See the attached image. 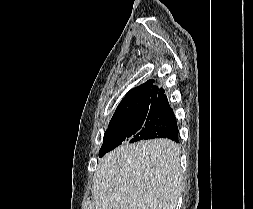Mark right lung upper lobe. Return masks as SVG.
Segmentation results:
<instances>
[{
	"mask_svg": "<svg viewBox=\"0 0 253 209\" xmlns=\"http://www.w3.org/2000/svg\"><path fill=\"white\" fill-rule=\"evenodd\" d=\"M153 82V80H148L130 90L118 105L112 119L131 114L140 109L151 108L154 102L160 100L165 95L164 89L153 85Z\"/></svg>",
	"mask_w": 253,
	"mask_h": 209,
	"instance_id": "1",
	"label": "right lung upper lobe"
}]
</instances>
